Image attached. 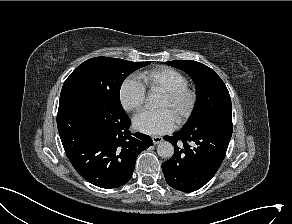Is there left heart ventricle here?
<instances>
[{"mask_svg":"<svg viewBox=\"0 0 292 224\" xmlns=\"http://www.w3.org/2000/svg\"><path fill=\"white\" fill-rule=\"evenodd\" d=\"M159 107L170 110L172 112V114L175 116V118L177 117L178 108L172 106L166 96L163 95L162 100L159 104Z\"/></svg>","mask_w":292,"mask_h":224,"instance_id":"left-heart-ventricle-1","label":"left heart ventricle"}]
</instances>
